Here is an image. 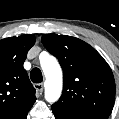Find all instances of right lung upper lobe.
Instances as JSON below:
<instances>
[{
	"instance_id": "cb5924a9",
	"label": "right lung upper lobe",
	"mask_w": 119,
	"mask_h": 119,
	"mask_svg": "<svg viewBox=\"0 0 119 119\" xmlns=\"http://www.w3.org/2000/svg\"><path fill=\"white\" fill-rule=\"evenodd\" d=\"M35 37L0 40V119H17L34 104L35 89L23 67Z\"/></svg>"
}]
</instances>
